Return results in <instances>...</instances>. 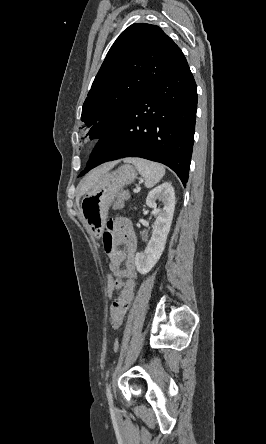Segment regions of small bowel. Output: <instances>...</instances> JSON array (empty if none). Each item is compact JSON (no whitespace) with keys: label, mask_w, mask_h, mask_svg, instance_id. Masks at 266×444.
Returning <instances> with one entry per match:
<instances>
[{"label":"small bowel","mask_w":266,"mask_h":444,"mask_svg":"<svg viewBox=\"0 0 266 444\" xmlns=\"http://www.w3.org/2000/svg\"><path fill=\"white\" fill-rule=\"evenodd\" d=\"M102 241L109 259L110 272L117 278V290H121L113 300L109 311L110 325L113 329H118L134 297L137 277L135 269L137 239L131 222L126 218L117 217L107 223Z\"/></svg>","instance_id":"obj_1"}]
</instances>
